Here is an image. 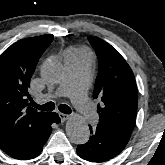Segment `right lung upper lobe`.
I'll list each match as a JSON object with an SVG mask.
<instances>
[{
    "label": "right lung upper lobe",
    "instance_id": "cb5924a9",
    "mask_svg": "<svg viewBox=\"0 0 165 165\" xmlns=\"http://www.w3.org/2000/svg\"><path fill=\"white\" fill-rule=\"evenodd\" d=\"M52 35L22 39L0 55V147L16 134L38 125L47 112L30 107V79Z\"/></svg>",
    "mask_w": 165,
    "mask_h": 165
}]
</instances>
